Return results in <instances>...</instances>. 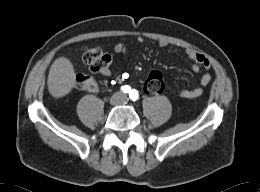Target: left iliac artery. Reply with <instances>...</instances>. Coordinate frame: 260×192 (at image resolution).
Returning a JSON list of instances; mask_svg holds the SVG:
<instances>
[{
	"mask_svg": "<svg viewBox=\"0 0 260 192\" xmlns=\"http://www.w3.org/2000/svg\"><path fill=\"white\" fill-rule=\"evenodd\" d=\"M129 97H130V99L133 100V101L138 100V98H139V93H138V91L135 90V89L131 90L130 93H129Z\"/></svg>",
	"mask_w": 260,
	"mask_h": 192,
	"instance_id": "left-iliac-artery-1",
	"label": "left iliac artery"
}]
</instances>
